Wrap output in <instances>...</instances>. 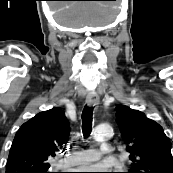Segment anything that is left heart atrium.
Listing matches in <instances>:
<instances>
[{
    "label": "left heart atrium",
    "mask_w": 173,
    "mask_h": 173,
    "mask_svg": "<svg viewBox=\"0 0 173 173\" xmlns=\"http://www.w3.org/2000/svg\"><path fill=\"white\" fill-rule=\"evenodd\" d=\"M83 173H108L110 168L104 164H96L81 168Z\"/></svg>",
    "instance_id": "39dd6f15"
}]
</instances>
